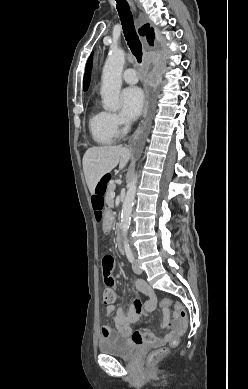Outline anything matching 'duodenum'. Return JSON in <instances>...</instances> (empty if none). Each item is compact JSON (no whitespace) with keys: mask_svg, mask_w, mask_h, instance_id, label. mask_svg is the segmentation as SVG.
<instances>
[{"mask_svg":"<svg viewBox=\"0 0 248 389\" xmlns=\"http://www.w3.org/2000/svg\"><path fill=\"white\" fill-rule=\"evenodd\" d=\"M117 248L120 253L124 251L123 244H122V238L121 235L119 234L117 237Z\"/></svg>","mask_w":248,"mask_h":389,"instance_id":"obj_1","label":"duodenum"}]
</instances>
